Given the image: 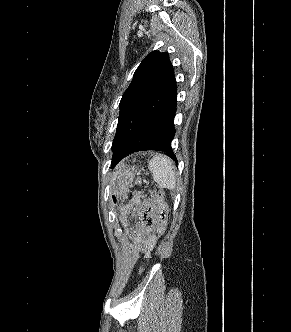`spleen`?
<instances>
[{
  "instance_id": "obj_1",
  "label": "spleen",
  "mask_w": 291,
  "mask_h": 332,
  "mask_svg": "<svg viewBox=\"0 0 291 332\" xmlns=\"http://www.w3.org/2000/svg\"><path fill=\"white\" fill-rule=\"evenodd\" d=\"M149 170L154 180L162 188L173 189L176 186V176L174 165L170 158L157 154L149 162Z\"/></svg>"
}]
</instances>
